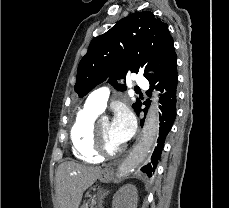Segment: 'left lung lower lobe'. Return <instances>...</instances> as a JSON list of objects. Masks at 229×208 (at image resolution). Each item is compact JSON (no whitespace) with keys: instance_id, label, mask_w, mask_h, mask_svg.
<instances>
[{"instance_id":"left-lung-lower-lobe-1","label":"left lung lower lobe","mask_w":229,"mask_h":208,"mask_svg":"<svg viewBox=\"0 0 229 208\" xmlns=\"http://www.w3.org/2000/svg\"><path fill=\"white\" fill-rule=\"evenodd\" d=\"M155 82L150 83L151 88H153ZM177 68L176 60L171 64L169 70L165 76L159 81L156 88L162 93L160 96L159 106L161 110L160 115V128H159V137L157 140V146L152 154L151 162L146 166L142 167L141 171L146 173L148 177L152 176L154 168L158 164V161L161 156V151L164 147V141L171 130V127L174 123L176 117V90H177ZM152 89L149 90L148 94L150 95ZM145 105L149 106V100L144 102ZM142 105V103H141ZM136 110L137 114L141 111L140 107ZM144 113L146 114L147 108H145ZM141 125H143V120H141Z\"/></svg>"}]
</instances>
